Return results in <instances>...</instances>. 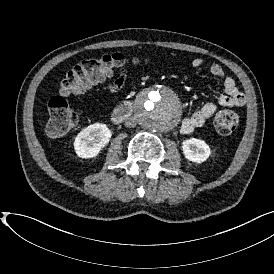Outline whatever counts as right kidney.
I'll use <instances>...</instances> for the list:
<instances>
[{
    "label": "right kidney",
    "mask_w": 274,
    "mask_h": 274,
    "mask_svg": "<svg viewBox=\"0 0 274 274\" xmlns=\"http://www.w3.org/2000/svg\"><path fill=\"white\" fill-rule=\"evenodd\" d=\"M112 138V131L106 124L93 123L81 130L73 142L77 157L91 159L100 154Z\"/></svg>",
    "instance_id": "ca27d5eb"
}]
</instances>
